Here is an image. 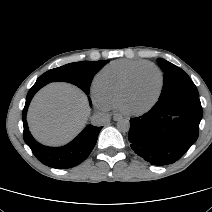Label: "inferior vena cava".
<instances>
[{
    "label": "inferior vena cava",
    "mask_w": 212,
    "mask_h": 212,
    "mask_svg": "<svg viewBox=\"0 0 212 212\" xmlns=\"http://www.w3.org/2000/svg\"><path fill=\"white\" fill-rule=\"evenodd\" d=\"M109 119L110 117L108 114L97 112L92 116L91 122L95 126H103L109 121Z\"/></svg>",
    "instance_id": "inferior-vena-cava-1"
}]
</instances>
